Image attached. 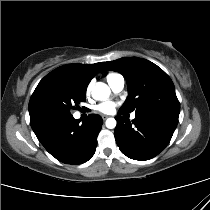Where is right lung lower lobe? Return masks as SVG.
Instances as JSON below:
<instances>
[{
	"label": "right lung lower lobe",
	"instance_id": "obj_1",
	"mask_svg": "<svg viewBox=\"0 0 210 210\" xmlns=\"http://www.w3.org/2000/svg\"><path fill=\"white\" fill-rule=\"evenodd\" d=\"M102 118L90 114L82 122L70 114L52 118L32 126L39 142L57 160L66 164H82L95 153Z\"/></svg>",
	"mask_w": 210,
	"mask_h": 210
}]
</instances>
